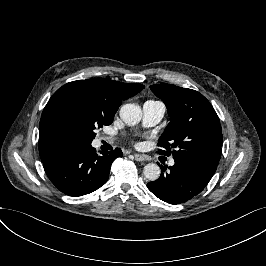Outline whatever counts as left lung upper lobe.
Masks as SVG:
<instances>
[{
	"label": "left lung upper lobe",
	"mask_w": 266,
	"mask_h": 266,
	"mask_svg": "<svg viewBox=\"0 0 266 266\" xmlns=\"http://www.w3.org/2000/svg\"><path fill=\"white\" fill-rule=\"evenodd\" d=\"M165 103L171 122L158 140L161 154L190 157L218 165L222 147L219 118L199 92L171 84L151 85ZM173 148L171 151L170 149Z\"/></svg>",
	"instance_id": "5c2ea615"
}]
</instances>
